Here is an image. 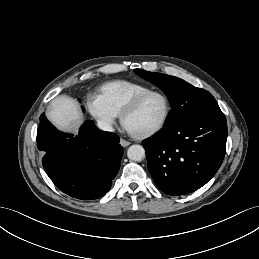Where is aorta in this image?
I'll use <instances>...</instances> for the list:
<instances>
[{
    "label": "aorta",
    "mask_w": 259,
    "mask_h": 259,
    "mask_svg": "<svg viewBox=\"0 0 259 259\" xmlns=\"http://www.w3.org/2000/svg\"><path fill=\"white\" fill-rule=\"evenodd\" d=\"M127 156L130 160L141 161L145 157V149L141 145H132L128 148Z\"/></svg>",
    "instance_id": "aorta-1"
}]
</instances>
